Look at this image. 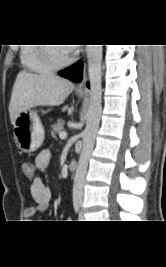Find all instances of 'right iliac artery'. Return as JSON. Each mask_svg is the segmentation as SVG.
Returning <instances> with one entry per match:
<instances>
[{"label":"right iliac artery","instance_id":"right-iliac-artery-1","mask_svg":"<svg viewBox=\"0 0 166 267\" xmlns=\"http://www.w3.org/2000/svg\"><path fill=\"white\" fill-rule=\"evenodd\" d=\"M80 205L78 203L74 204V210L77 213L79 211Z\"/></svg>","mask_w":166,"mask_h":267}]
</instances>
